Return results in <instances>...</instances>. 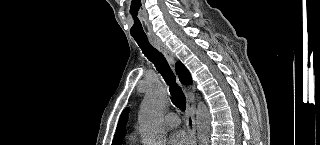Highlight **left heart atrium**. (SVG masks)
Wrapping results in <instances>:
<instances>
[{"label": "left heart atrium", "mask_w": 320, "mask_h": 145, "mask_svg": "<svg viewBox=\"0 0 320 145\" xmlns=\"http://www.w3.org/2000/svg\"><path fill=\"white\" fill-rule=\"evenodd\" d=\"M189 138L183 132L174 133L168 141L169 145H189Z\"/></svg>", "instance_id": "39dd6f15"}]
</instances>
